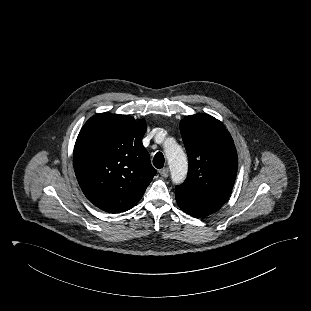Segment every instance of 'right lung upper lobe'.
Returning a JSON list of instances; mask_svg holds the SVG:
<instances>
[{
    "instance_id": "cb5924a9",
    "label": "right lung upper lobe",
    "mask_w": 311,
    "mask_h": 311,
    "mask_svg": "<svg viewBox=\"0 0 311 311\" xmlns=\"http://www.w3.org/2000/svg\"><path fill=\"white\" fill-rule=\"evenodd\" d=\"M144 120L128 115L92 116L77 137L73 164L87 199L109 213L131 209L157 171L142 144Z\"/></svg>"
}]
</instances>
